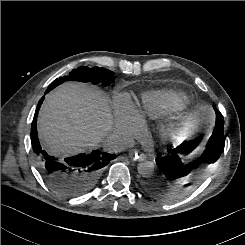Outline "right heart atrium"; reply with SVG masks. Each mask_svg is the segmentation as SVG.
Masks as SVG:
<instances>
[{
	"mask_svg": "<svg viewBox=\"0 0 245 245\" xmlns=\"http://www.w3.org/2000/svg\"><path fill=\"white\" fill-rule=\"evenodd\" d=\"M113 109L115 134L124 140L138 136L144 124L131 100L125 95H120L115 98Z\"/></svg>",
	"mask_w": 245,
	"mask_h": 245,
	"instance_id": "d8ad5b80",
	"label": "right heart atrium"
}]
</instances>
